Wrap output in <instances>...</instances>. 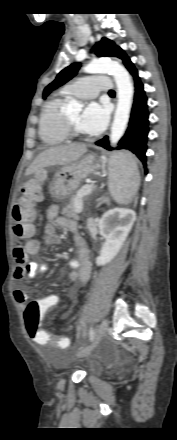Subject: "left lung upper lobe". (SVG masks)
Listing matches in <instances>:
<instances>
[{"label":"left lung upper lobe","instance_id":"1","mask_svg":"<svg viewBox=\"0 0 177 440\" xmlns=\"http://www.w3.org/2000/svg\"><path fill=\"white\" fill-rule=\"evenodd\" d=\"M95 53L100 57H116L121 59L128 70L134 67L130 58L124 53V51L120 47H116L115 43L106 37H103L101 41L95 45ZM79 68L80 63H73L63 69L57 75L56 79L44 89L43 98H46L51 91L65 84L74 77Z\"/></svg>","mask_w":177,"mask_h":440}]
</instances>
